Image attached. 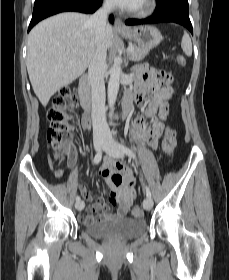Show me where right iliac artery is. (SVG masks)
<instances>
[{
	"label": "right iliac artery",
	"instance_id": "1",
	"mask_svg": "<svg viewBox=\"0 0 229 280\" xmlns=\"http://www.w3.org/2000/svg\"><path fill=\"white\" fill-rule=\"evenodd\" d=\"M101 159H102V152L100 151L95 155L93 163L98 164L101 161ZM79 201H80V197L77 196L76 197V202H79Z\"/></svg>",
	"mask_w": 229,
	"mask_h": 280
}]
</instances>
